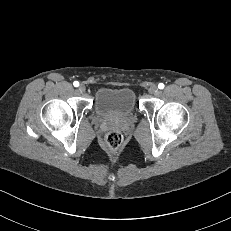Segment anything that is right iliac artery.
Returning <instances> with one entry per match:
<instances>
[{"instance_id": "right-iliac-artery-1", "label": "right iliac artery", "mask_w": 231, "mask_h": 231, "mask_svg": "<svg viewBox=\"0 0 231 231\" xmlns=\"http://www.w3.org/2000/svg\"><path fill=\"white\" fill-rule=\"evenodd\" d=\"M73 85H74L75 87H78V86H79V82H78V81H75V82L73 83Z\"/></svg>"}]
</instances>
